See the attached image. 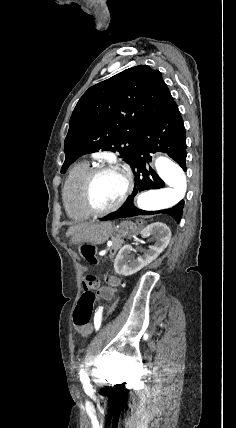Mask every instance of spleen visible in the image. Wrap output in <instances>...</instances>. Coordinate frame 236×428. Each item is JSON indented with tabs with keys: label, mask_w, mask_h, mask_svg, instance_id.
I'll use <instances>...</instances> for the list:
<instances>
[{
	"label": "spleen",
	"mask_w": 236,
	"mask_h": 428,
	"mask_svg": "<svg viewBox=\"0 0 236 428\" xmlns=\"http://www.w3.org/2000/svg\"><path fill=\"white\" fill-rule=\"evenodd\" d=\"M122 226L125 230H137V228H135V224H132V222H124Z\"/></svg>",
	"instance_id": "spleen-1"
}]
</instances>
